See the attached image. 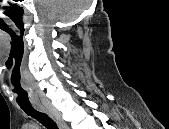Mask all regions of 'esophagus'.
<instances>
[{
    "label": "esophagus",
    "mask_w": 169,
    "mask_h": 129,
    "mask_svg": "<svg viewBox=\"0 0 169 129\" xmlns=\"http://www.w3.org/2000/svg\"><path fill=\"white\" fill-rule=\"evenodd\" d=\"M34 107L41 112L47 113V110L41 104H36Z\"/></svg>",
    "instance_id": "1"
}]
</instances>
